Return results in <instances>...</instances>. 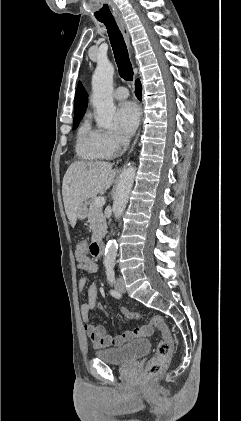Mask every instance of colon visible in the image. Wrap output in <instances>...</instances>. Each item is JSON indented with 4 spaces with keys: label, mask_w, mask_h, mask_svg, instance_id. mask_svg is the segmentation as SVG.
<instances>
[{
    "label": "colon",
    "mask_w": 241,
    "mask_h": 421,
    "mask_svg": "<svg viewBox=\"0 0 241 421\" xmlns=\"http://www.w3.org/2000/svg\"><path fill=\"white\" fill-rule=\"evenodd\" d=\"M76 252L80 255L92 254V244L87 240H80L76 245ZM122 312L129 318H140L138 313L122 309ZM150 324L161 332V340L157 344L154 356L146 365V376L151 379L162 373L167 367L174 351L173 340L170 329L166 321L160 315H154L150 319Z\"/></svg>",
    "instance_id": "1"
}]
</instances>
